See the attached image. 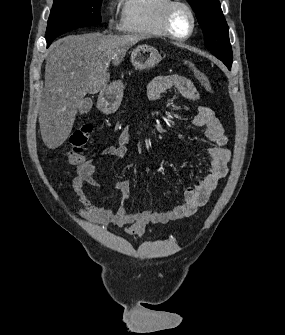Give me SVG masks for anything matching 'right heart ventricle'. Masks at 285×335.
<instances>
[{
	"instance_id": "right-heart-ventricle-1",
	"label": "right heart ventricle",
	"mask_w": 285,
	"mask_h": 335,
	"mask_svg": "<svg viewBox=\"0 0 285 335\" xmlns=\"http://www.w3.org/2000/svg\"><path fill=\"white\" fill-rule=\"evenodd\" d=\"M172 1H133L134 16L129 25L142 39L170 38L164 24V12Z\"/></svg>"
}]
</instances>
